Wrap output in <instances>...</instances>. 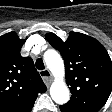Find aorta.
Masks as SVG:
<instances>
[{"instance_id":"aorta-1","label":"aorta","mask_w":112,"mask_h":112,"mask_svg":"<svg viewBox=\"0 0 112 112\" xmlns=\"http://www.w3.org/2000/svg\"><path fill=\"white\" fill-rule=\"evenodd\" d=\"M44 61L55 77L50 87L52 99L58 104L67 103L70 99V92L64 81L65 69L62 57L56 50L50 49L45 52Z\"/></svg>"}]
</instances>
